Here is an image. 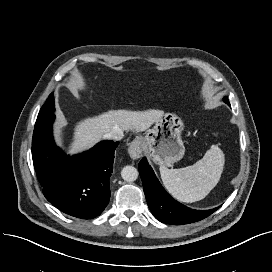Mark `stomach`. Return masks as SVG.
<instances>
[{
	"label": "stomach",
	"instance_id": "obj_1",
	"mask_svg": "<svg viewBox=\"0 0 272 272\" xmlns=\"http://www.w3.org/2000/svg\"><path fill=\"white\" fill-rule=\"evenodd\" d=\"M184 123L173 113H163L147 130L142 142L152 160L161 166H170L182 159L185 147L181 139Z\"/></svg>",
	"mask_w": 272,
	"mask_h": 272
}]
</instances>
